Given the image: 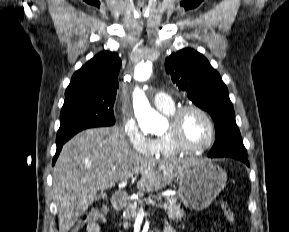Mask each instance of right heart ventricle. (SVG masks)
Returning a JSON list of instances; mask_svg holds the SVG:
<instances>
[{"label":"right heart ventricle","instance_id":"right-heart-ventricle-1","mask_svg":"<svg viewBox=\"0 0 289 232\" xmlns=\"http://www.w3.org/2000/svg\"><path fill=\"white\" fill-rule=\"evenodd\" d=\"M175 110H176V107L173 104L170 108L163 109L161 111L165 113L166 115L171 116ZM153 143H154L153 152L151 156L155 158H170V157H175L184 153L173 145V143L171 142V140L169 139L166 133L160 136H157L153 140Z\"/></svg>","mask_w":289,"mask_h":232}]
</instances>
